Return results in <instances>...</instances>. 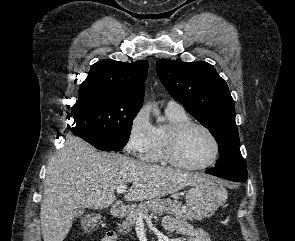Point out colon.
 Instances as JSON below:
<instances>
[{
	"instance_id": "5ec220e1",
	"label": "colon",
	"mask_w": 295,
	"mask_h": 241,
	"mask_svg": "<svg viewBox=\"0 0 295 241\" xmlns=\"http://www.w3.org/2000/svg\"><path fill=\"white\" fill-rule=\"evenodd\" d=\"M97 221H98L97 217H95V216H88L84 220V228L86 230L92 229L96 225Z\"/></svg>"
}]
</instances>
